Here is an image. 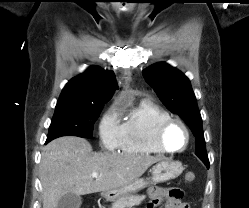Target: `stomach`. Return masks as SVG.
I'll list each match as a JSON object with an SVG mask.
<instances>
[{
  "label": "stomach",
  "instance_id": "stomach-1",
  "mask_svg": "<svg viewBox=\"0 0 249 208\" xmlns=\"http://www.w3.org/2000/svg\"><path fill=\"white\" fill-rule=\"evenodd\" d=\"M182 171L183 166L180 161L162 160L152 167L150 178H141L125 187L104 191L102 192V196L108 201H114L125 195L136 193L149 184H157L175 179Z\"/></svg>",
  "mask_w": 249,
  "mask_h": 208
}]
</instances>
